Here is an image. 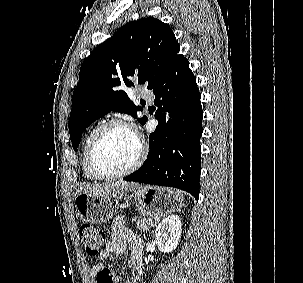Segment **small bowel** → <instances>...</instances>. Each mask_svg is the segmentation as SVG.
I'll return each mask as SVG.
<instances>
[{
	"label": "small bowel",
	"instance_id": "obj_1",
	"mask_svg": "<svg viewBox=\"0 0 303 283\" xmlns=\"http://www.w3.org/2000/svg\"><path fill=\"white\" fill-rule=\"evenodd\" d=\"M127 246L132 248L130 255V264L139 273L142 272V248L143 244L140 238L130 230L122 217H116L111 225V237L106 248L99 254L101 261L107 260L111 255H118L125 252ZM104 269L102 263H96L92 266L91 272L96 277L97 273ZM124 283H132L130 279H125Z\"/></svg>",
	"mask_w": 303,
	"mask_h": 283
}]
</instances>
